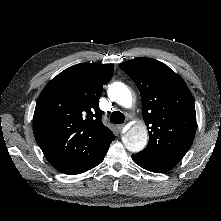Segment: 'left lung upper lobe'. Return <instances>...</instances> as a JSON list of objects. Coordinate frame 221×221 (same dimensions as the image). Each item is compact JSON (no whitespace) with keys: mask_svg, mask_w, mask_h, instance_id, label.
I'll list each match as a JSON object with an SVG mask.
<instances>
[{"mask_svg":"<svg viewBox=\"0 0 221 221\" xmlns=\"http://www.w3.org/2000/svg\"><path fill=\"white\" fill-rule=\"evenodd\" d=\"M119 67L137 85L142 115L149 130L142 155L177 164L191 147L196 132V112L183 79L164 63L138 57Z\"/></svg>","mask_w":221,"mask_h":221,"instance_id":"1","label":"left lung upper lobe"}]
</instances>
